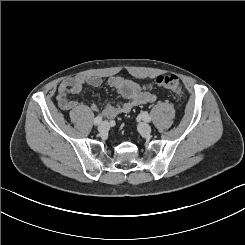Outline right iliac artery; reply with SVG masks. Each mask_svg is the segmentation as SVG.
I'll list each match as a JSON object with an SVG mask.
<instances>
[{"label":"right iliac artery","mask_w":245,"mask_h":245,"mask_svg":"<svg viewBox=\"0 0 245 245\" xmlns=\"http://www.w3.org/2000/svg\"><path fill=\"white\" fill-rule=\"evenodd\" d=\"M102 120H103L102 116H97L93 122L95 125H99L102 122Z\"/></svg>","instance_id":"1"}]
</instances>
